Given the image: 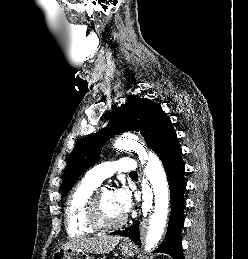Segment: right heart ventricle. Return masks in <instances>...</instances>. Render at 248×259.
Returning <instances> with one entry per match:
<instances>
[{
    "instance_id": "right-heart-ventricle-1",
    "label": "right heart ventricle",
    "mask_w": 248,
    "mask_h": 259,
    "mask_svg": "<svg viewBox=\"0 0 248 259\" xmlns=\"http://www.w3.org/2000/svg\"><path fill=\"white\" fill-rule=\"evenodd\" d=\"M97 187L84 178L71 191L66 207V227L70 236H84L97 230L87 218L88 202Z\"/></svg>"
}]
</instances>
